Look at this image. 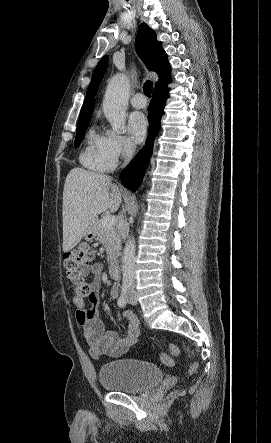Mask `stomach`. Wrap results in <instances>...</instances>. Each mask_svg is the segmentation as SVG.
I'll return each instance as SVG.
<instances>
[{
	"instance_id": "stomach-1",
	"label": "stomach",
	"mask_w": 271,
	"mask_h": 443,
	"mask_svg": "<svg viewBox=\"0 0 271 443\" xmlns=\"http://www.w3.org/2000/svg\"><path fill=\"white\" fill-rule=\"evenodd\" d=\"M97 231L95 229V222H92L89 229H87L86 233H84L85 239L87 241H92V239H96Z\"/></svg>"
}]
</instances>
